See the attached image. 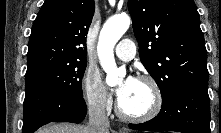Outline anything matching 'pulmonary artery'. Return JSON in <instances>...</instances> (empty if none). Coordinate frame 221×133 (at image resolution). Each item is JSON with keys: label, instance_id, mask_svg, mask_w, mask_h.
<instances>
[{"label": "pulmonary artery", "instance_id": "e3ab8cb5", "mask_svg": "<svg viewBox=\"0 0 221 133\" xmlns=\"http://www.w3.org/2000/svg\"><path fill=\"white\" fill-rule=\"evenodd\" d=\"M118 58L129 61L135 56V45L130 39L122 40L115 49Z\"/></svg>", "mask_w": 221, "mask_h": 133}]
</instances>
